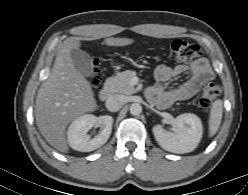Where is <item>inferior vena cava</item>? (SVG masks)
Here are the masks:
<instances>
[{
	"label": "inferior vena cava",
	"mask_w": 248,
	"mask_h": 195,
	"mask_svg": "<svg viewBox=\"0 0 248 195\" xmlns=\"http://www.w3.org/2000/svg\"><path fill=\"white\" fill-rule=\"evenodd\" d=\"M124 102L122 95L115 94L106 100V108L111 112H116L123 106Z\"/></svg>",
	"instance_id": "obj_1"
}]
</instances>
